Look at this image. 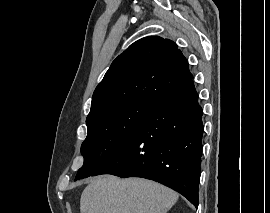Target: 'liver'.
<instances>
[{
  "label": "liver",
  "mask_w": 270,
  "mask_h": 213,
  "mask_svg": "<svg viewBox=\"0 0 270 213\" xmlns=\"http://www.w3.org/2000/svg\"><path fill=\"white\" fill-rule=\"evenodd\" d=\"M178 194L153 181L107 175L93 179L80 198L81 213H167Z\"/></svg>",
  "instance_id": "1"
}]
</instances>
